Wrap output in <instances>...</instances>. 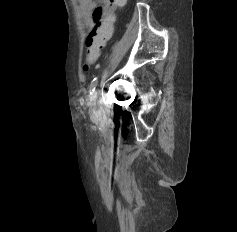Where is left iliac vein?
Segmentation results:
<instances>
[{
	"label": "left iliac vein",
	"mask_w": 237,
	"mask_h": 232,
	"mask_svg": "<svg viewBox=\"0 0 237 232\" xmlns=\"http://www.w3.org/2000/svg\"><path fill=\"white\" fill-rule=\"evenodd\" d=\"M97 99V93L93 92V94L90 97V107L94 110L95 104Z\"/></svg>",
	"instance_id": "4c4485c4"
}]
</instances>
